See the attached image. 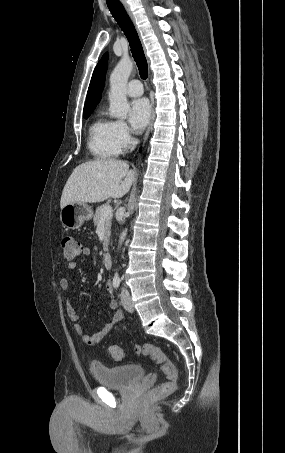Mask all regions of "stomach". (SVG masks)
I'll list each match as a JSON object with an SVG mask.
<instances>
[{
    "instance_id": "0dacf381",
    "label": "stomach",
    "mask_w": 285,
    "mask_h": 453,
    "mask_svg": "<svg viewBox=\"0 0 285 453\" xmlns=\"http://www.w3.org/2000/svg\"><path fill=\"white\" fill-rule=\"evenodd\" d=\"M92 215V208L86 202H74L61 208L60 222L67 229H78Z\"/></svg>"
}]
</instances>
